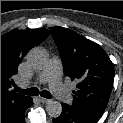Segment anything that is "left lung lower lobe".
<instances>
[{
	"label": "left lung lower lobe",
	"instance_id": "obj_1",
	"mask_svg": "<svg viewBox=\"0 0 123 123\" xmlns=\"http://www.w3.org/2000/svg\"><path fill=\"white\" fill-rule=\"evenodd\" d=\"M53 123H97V120L87 118L72 111L70 106L62 103V113L53 119Z\"/></svg>",
	"mask_w": 123,
	"mask_h": 123
}]
</instances>
